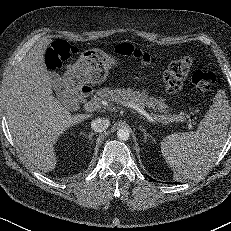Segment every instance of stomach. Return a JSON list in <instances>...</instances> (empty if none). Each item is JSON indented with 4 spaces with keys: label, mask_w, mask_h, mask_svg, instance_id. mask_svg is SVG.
<instances>
[{
    "label": "stomach",
    "mask_w": 231,
    "mask_h": 231,
    "mask_svg": "<svg viewBox=\"0 0 231 231\" xmlns=\"http://www.w3.org/2000/svg\"><path fill=\"white\" fill-rule=\"evenodd\" d=\"M118 63L114 56L103 51H84L73 66L64 73V85L66 88H72L86 83L97 84L103 82L109 69Z\"/></svg>",
    "instance_id": "1"
}]
</instances>
